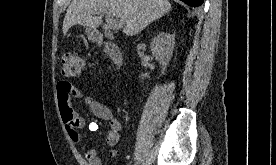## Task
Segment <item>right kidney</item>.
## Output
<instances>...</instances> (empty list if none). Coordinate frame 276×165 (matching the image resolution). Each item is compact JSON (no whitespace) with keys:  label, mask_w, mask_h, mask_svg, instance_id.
Masks as SVG:
<instances>
[{"label":"right kidney","mask_w":276,"mask_h":165,"mask_svg":"<svg viewBox=\"0 0 276 165\" xmlns=\"http://www.w3.org/2000/svg\"><path fill=\"white\" fill-rule=\"evenodd\" d=\"M174 46L175 35L164 32L157 35L151 43L152 54L162 65V74L172 58Z\"/></svg>","instance_id":"1"}]
</instances>
